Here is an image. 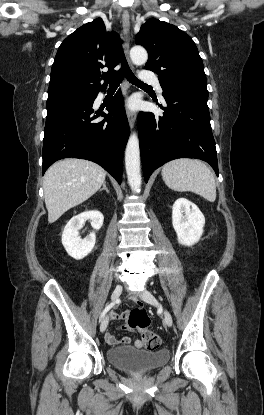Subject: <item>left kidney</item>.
Returning <instances> with one entry per match:
<instances>
[{"instance_id": "left-kidney-1", "label": "left kidney", "mask_w": 264, "mask_h": 415, "mask_svg": "<svg viewBox=\"0 0 264 415\" xmlns=\"http://www.w3.org/2000/svg\"><path fill=\"white\" fill-rule=\"evenodd\" d=\"M172 225L179 244L192 246L203 234L205 217L194 203L179 198L172 207Z\"/></svg>"}]
</instances>
